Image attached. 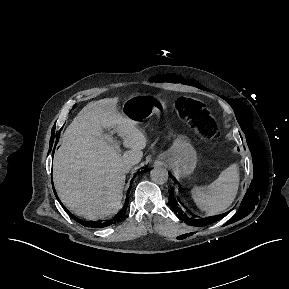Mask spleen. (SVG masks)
Returning a JSON list of instances; mask_svg holds the SVG:
<instances>
[{"mask_svg":"<svg viewBox=\"0 0 289 289\" xmlns=\"http://www.w3.org/2000/svg\"><path fill=\"white\" fill-rule=\"evenodd\" d=\"M239 167L236 163L223 170L207 187H195L192 197L200 210L210 215L223 213L236 198Z\"/></svg>","mask_w":289,"mask_h":289,"instance_id":"1","label":"spleen"}]
</instances>
